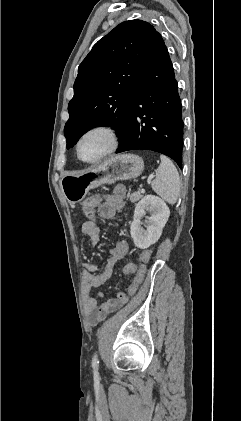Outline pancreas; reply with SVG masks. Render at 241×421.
<instances>
[{
	"mask_svg": "<svg viewBox=\"0 0 241 421\" xmlns=\"http://www.w3.org/2000/svg\"><path fill=\"white\" fill-rule=\"evenodd\" d=\"M143 197V195L140 193V192H134V193H132L130 196H129V198H130V201L132 202V203H134V202H137L139 199H141Z\"/></svg>",
	"mask_w": 241,
	"mask_h": 421,
	"instance_id": "pancreas-1",
	"label": "pancreas"
}]
</instances>
